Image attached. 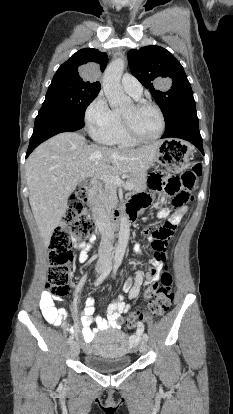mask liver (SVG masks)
Instances as JSON below:
<instances>
[{
    "label": "liver",
    "mask_w": 233,
    "mask_h": 414,
    "mask_svg": "<svg viewBox=\"0 0 233 414\" xmlns=\"http://www.w3.org/2000/svg\"><path fill=\"white\" fill-rule=\"evenodd\" d=\"M158 142L111 149L88 144L76 132H62L39 145L26 161L29 202L45 246L67 209L69 196L88 177L141 173L155 160Z\"/></svg>",
    "instance_id": "6515ba94"
}]
</instances>
